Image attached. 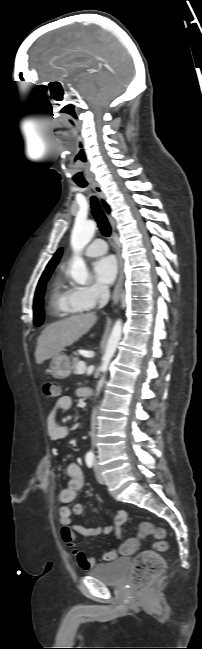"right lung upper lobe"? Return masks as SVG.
<instances>
[{
    "instance_id": "1",
    "label": "right lung upper lobe",
    "mask_w": 202,
    "mask_h": 649,
    "mask_svg": "<svg viewBox=\"0 0 202 649\" xmlns=\"http://www.w3.org/2000/svg\"><path fill=\"white\" fill-rule=\"evenodd\" d=\"M104 206H105L106 210L109 212V207H108L105 203H104ZM62 251H63V249L60 248V249L55 253V255L53 256V258L49 261L48 265L46 266V269H45V271L43 272L42 275H44V274H46V273H48V272H50V271L53 272L55 266L58 264V262H59V260H60V257H61V255H62Z\"/></svg>"
}]
</instances>
